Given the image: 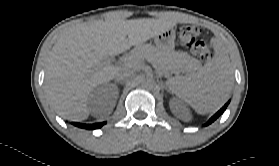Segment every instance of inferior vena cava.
I'll list each match as a JSON object with an SVG mask.
<instances>
[{"label": "inferior vena cava", "instance_id": "602c4592", "mask_svg": "<svg viewBox=\"0 0 279 166\" xmlns=\"http://www.w3.org/2000/svg\"><path fill=\"white\" fill-rule=\"evenodd\" d=\"M134 75V71L125 66V67H121L115 74V80L117 82H124L126 80H128L129 78H131Z\"/></svg>", "mask_w": 279, "mask_h": 166}]
</instances>
